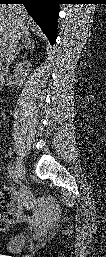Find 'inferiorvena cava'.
<instances>
[{
    "mask_svg": "<svg viewBox=\"0 0 106 257\" xmlns=\"http://www.w3.org/2000/svg\"><path fill=\"white\" fill-rule=\"evenodd\" d=\"M19 40L18 34H12L6 45L1 48V58L2 62H5L6 66H2V70L4 71V75H7L9 65L13 61L14 53L16 51L17 43Z\"/></svg>",
    "mask_w": 106,
    "mask_h": 257,
    "instance_id": "602c4592",
    "label": "inferior vena cava"
}]
</instances>
